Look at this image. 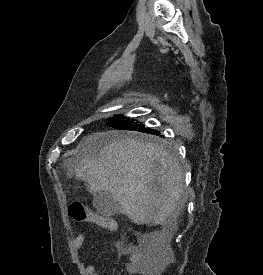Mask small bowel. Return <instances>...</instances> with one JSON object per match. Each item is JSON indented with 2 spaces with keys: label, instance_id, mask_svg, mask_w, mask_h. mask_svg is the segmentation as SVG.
<instances>
[{
  "label": "small bowel",
  "instance_id": "obj_1",
  "mask_svg": "<svg viewBox=\"0 0 263 275\" xmlns=\"http://www.w3.org/2000/svg\"><path fill=\"white\" fill-rule=\"evenodd\" d=\"M103 218L107 221H112L108 218H105V217ZM96 225L104 228L100 224H96ZM85 239L86 237L84 233H80L77 235V237L74 240V248L76 251H80L82 249L85 243ZM122 254L128 255V262L125 265V271L127 274L147 275L148 257L146 255V250L143 245L139 244V245L126 247L122 250ZM83 273L84 275H98L96 268L93 264H83Z\"/></svg>",
  "mask_w": 263,
  "mask_h": 275
}]
</instances>
